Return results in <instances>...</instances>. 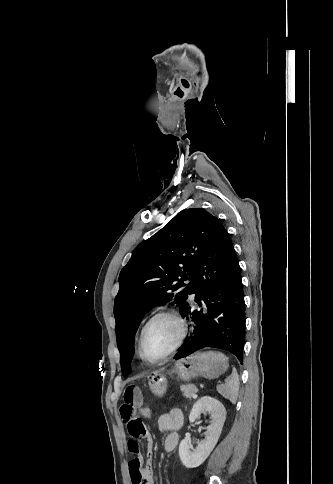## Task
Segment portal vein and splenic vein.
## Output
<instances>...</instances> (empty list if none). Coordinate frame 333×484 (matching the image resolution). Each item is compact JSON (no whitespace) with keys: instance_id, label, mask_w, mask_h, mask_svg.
Listing matches in <instances>:
<instances>
[{"instance_id":"obj_1","label":"portal vein and splenic vein","mask_w":333,"mask_h":484,"mask_svg":"<svg viewBox=\"0 0 333 484\" xmlns=\"http://www.w3.org/2000/svg\"><path fill=\"white\" fill-rule=\"evenodd\" d=\"M197 391H198V390H196V392H197ZM195 395H196V394H194V395H193V397H194Z\"/></svg>"}]
</instances>
